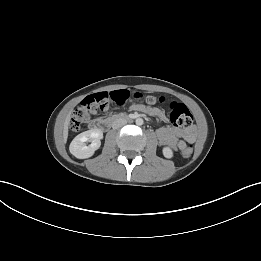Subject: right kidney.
Wrapping results in <instances>:
<instances>
[{"mask_svg": "<svg viewBox=\"0 0 261 261\" xmlns=\"http://www.w3.org/2000/svg\"><path fill=\"white\" fill-rule=\"evenodd\" d=\"M103 132L99 129H90L77 135L71 142L69 150L72 155L79 159L91 157L100 147ZM86 141L91 142L88 146Z\"/></svg>", "mask_w": 261, "mask_h": 261, "instance_id": "right-kidney-1", "label": "right kidney"}]
</instances>
